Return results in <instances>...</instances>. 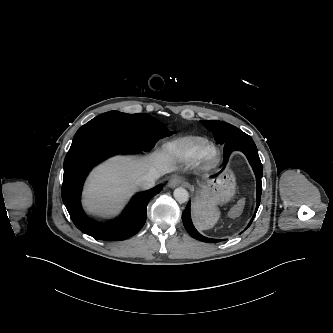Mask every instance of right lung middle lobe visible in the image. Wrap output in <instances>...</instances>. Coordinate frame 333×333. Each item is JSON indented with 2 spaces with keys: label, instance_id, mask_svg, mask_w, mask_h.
<instances>
[{
  "label": "right lung middle lobe",
  "instance_id": "1",
  "mask_svg": "<svg viewBox=\"0 0 333 333\" xmlns=\"http://www.w3.org/2000/svg\"><path fill=\"white\" fill-rule=\"evenodd\" d=\"M94 133L113 136L135 146L139 151H149L159 139L174 132L169 131L161 122L144 113L126 114L110 111L83 125L73 140Z\"/></svg>",
  "mask_w": 333,
  "mask_h": 333
}]
</instances>
